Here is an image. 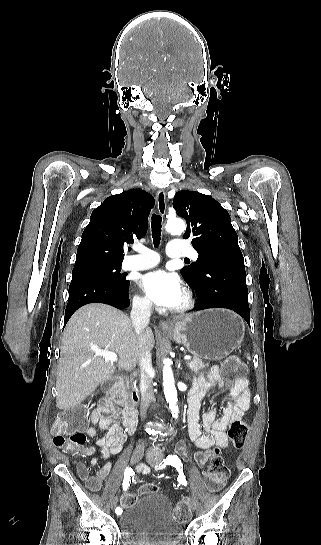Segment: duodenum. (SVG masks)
<instances>
[{"instance_id": "obj_1", "label": "duodenum", "mask_w": 321, "mask_h": 545, "mask_svg": "<svg viewBox=\"0 0 321 545\" xmlns=\"http://www.w3.org/2000/svg\"><path fill=\"white\" fill-rule=\"evenodd\" d=\"M104 389L107 393V399L122 407L123 426L129 434H133L136 429L138 417L136 410L128 403L124 392V381L122 379H113L104 383Z\"/></svg>"}]
</instances>
